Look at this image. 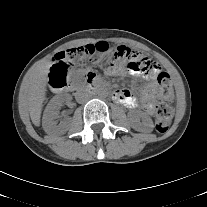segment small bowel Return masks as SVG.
I'll return each mask as SVG.
<instances>
[{
	"label": "small bowel",
	"mask_w": 207,
	"mask_h": 207,
	"mask_svg": "<svg viewBox=\"0 0 207 207\" xmlns=\"http://www.w3.org/2000/svg\"><path fill=\"white\" fill-rule=\"evenodd\" d=\"M127 72L133 75L143 74L139 69L132 71L129 70L128 68L124 69L122 67H111L107 71V73L111 76H123ZM113 98L115 101L122 103L129 108L136 107L139 102L138 99L135 96H133L129 90L116 89L113 92ZM154 99H155V85L153 83H150L141 89V98H140V101L145 111L149 114L153 113Z\"/></svg>",
	"instance_id": "1"
}]
</instances>
